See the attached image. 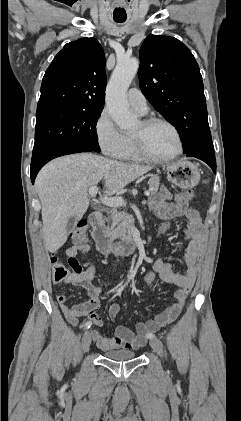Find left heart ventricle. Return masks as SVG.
Returning <instances> with one entry per match:
<instances>
[{
    "label": "left heart ventricle",
    "mask_w": 241,
    "mask_h": 421,
    "mask_svg": "<svg viewBox=\"0 0 241 421\" xmlns=\"http://www.w3.org/2000/svg\"><path fill=\"white\" fill-rule=\"evenodd\" d=\"M140 122L132 132L140 129ZM145 143L149 152L156 157H167L177 149V139L171 128L164 124H155L145 132Z\"/></svg>",
    "instance_id": "1"
}]
</instances>
